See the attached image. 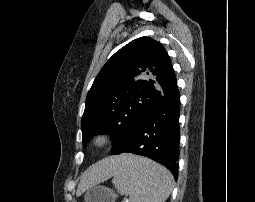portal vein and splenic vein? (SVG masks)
Returning a JSON list of instances; mask_svg holds the SVG:
<instances>
[{
	"label": "portal vein and splenic vein",
	"mask_w": 255,
	"mask_h": 202,
	"mask_svg": "<svg viewBox=\"0 0 255 202\" xmlns=\"http://www.w3.org/2000/svg\"><path fill=\"white\" fill-rule=\"evenodd\" d=\"M122 202H128L127 200H124V201H122Z\"/></svg>",
	"instance_id": "portal-vein-and-splenic-vein-1"
}]
</instances>
